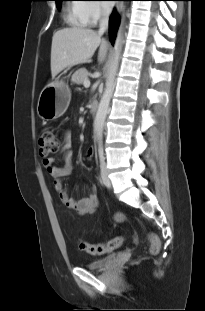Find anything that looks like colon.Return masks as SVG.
I'll use <instances>...</instances> for the list:
<instances>
[{
	"instance_id": "5ec220e1",
	"label": "colon",
	"mask_w": 205,
	"mask_h": 311,
	"mask_svg": "<svg viewBox=\"0 0 205 311\" xmlns=\"http://www.w3.org/2000/svg\"><path fill=\"white\" fill-rule=\"evenodd\" d=\"M60 143L56 132L51 129H45L39 139L40 154L44 158H47L50 154L55 153L59 149ZM150 252L157 254L160 250L161 242L157 235L150 234ZM123 242L122 237H115L107 242L91 244L87 241L80 240L78 247L80 250L91 255H103L105 253L116 250L121 246Z\"/></svg>"
}]
</instances>
